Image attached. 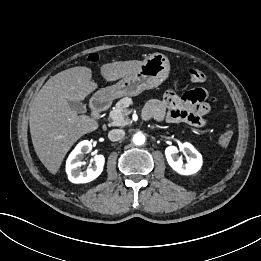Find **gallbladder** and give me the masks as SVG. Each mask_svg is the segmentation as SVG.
Here are the masks:
<instances>
[{"instance_id":"1","label":"gallbladder","mask_w":261,"mask_h":261,"mask_svg":"<svg viewBox=\"0 0 261 261\" xmlns=\"http://www.w3.org/2000/svg\"><path fill=\"white\" fill-rule=\"evenodd\" d=\"M69 106L75 110L78 113H85L86 112V106L78 101H69L68 102Z\"/></svg>"}]
</instances>
